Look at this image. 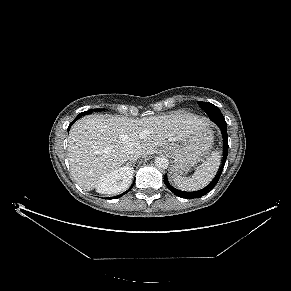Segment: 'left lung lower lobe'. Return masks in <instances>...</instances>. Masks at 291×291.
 <instances>
[{"label":"left lung lower lobe","mask_w":291,"mask_h":291,"mask_svg":"<svg viewBox=\"0 0 291 291\" xmlns=\"http://www.w3.org/2000/svg\"><path fill=\"white\" fill-rule=\"evenodd\" d=\"M221 130L222 136H223V144H224V149H223V160H222V165L218 171L217 176L213 179V181L205 188L198 190V191H194V192H185V191H181L178 190L176 188H174L168 181L167 179V175L164 176V183L165 185L168 187V189L173 192L175 195L181 197V198H187V199H193V198H199L202 197L204 195H206L208 192H210L215 185L217 184L221 173L223 171L226 159H227V155H228V136H227V123L222 116H217V117H209ZM189 193V194H187Z\"/></svg>","instance_id":"left-lung-lower-lobe-1"}]
</instances>
